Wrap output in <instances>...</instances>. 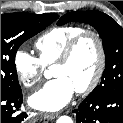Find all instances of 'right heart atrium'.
Returning <instances> with one entry per match:
<instances>
[{
  "label": "right heart atrium",
  "mask_w": 123,
  "mask_h": 123,
  "mask_svg": "<svg viewBox=\"0 0 123 123\" xmlns=\"http://www.w3.org/2000/svg\"><path fill=\"white\" fill-rule=\"evenodd\" d=\"M13 65L17 77L24 87L31 89L40 82L44 65L29 51L23 48L17 49L13 56Z\"/></svg>",
  "instance_id": "d8ad5b80"
}]
</instances>
